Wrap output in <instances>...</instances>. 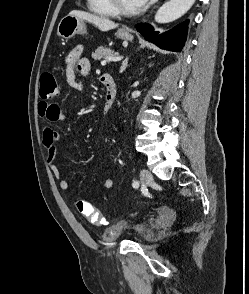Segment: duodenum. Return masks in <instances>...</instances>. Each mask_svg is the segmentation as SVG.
I'll use <instances>...</instances> for the list:
<instances>
[{
  "label": "duodenum",
  "instance_id": "obj_1",
  "mask_svg": "<svg viewBox=\"0 0 249 294\" xmlns=\"http://www.w3.org/2000/svg\"><path fill=\"white\" fill-rule=\"evenodd\" d=\"M100 81L105 88V97H104V104L102 107V114L106 116L111 111L115 103L117 88H116L115 80L109 74L101 75Z\"/></svg>",
  "mask_w": 249,
  "mask_h": 294
}]
</instances>
